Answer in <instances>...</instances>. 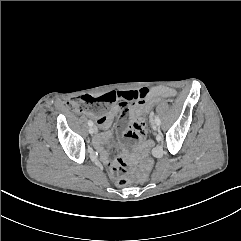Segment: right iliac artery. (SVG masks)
I'll use <instances>...</instances> for the list:
<instances>
[{"label": "right iliac artery", "instance_id": "1", "mask_svg": "<svg viewBox=\"0 0 241 241\" xmlns=\"http://www.w3.org/2000/svg\"><path fill=\"white\" fill-rule=\"evenodd\" d=\"M88 125L89 126H92L93 125V122L91 120L88 121Z\"/></svg>", "mask_w": 241, "mask_h": 241}]
</instances>
